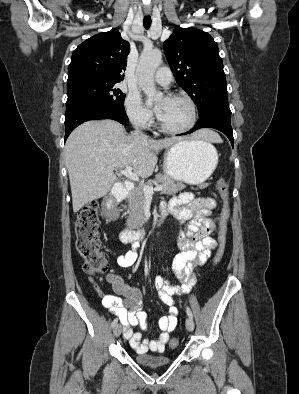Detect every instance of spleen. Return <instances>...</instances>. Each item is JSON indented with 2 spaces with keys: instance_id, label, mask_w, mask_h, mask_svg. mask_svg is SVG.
I'll return each mask as SVG.
<instances>
[{
  "instance_id": "3e777b00",
  "label": "spleen",
  "mask_w": 299,
  "mask_h": 394,
  "mask_svg": "<svg viewBox=\"0 0 299 394\" xmlns=\"http://www.w3.org/2000/svg\"><path fill=\"white\" fill-rule=\"evenodd\" d=\"M208 145H209V147H210L212 150L214 149L213 145H211L210 143H208Z\"/></svg>"
}]
</instances>
